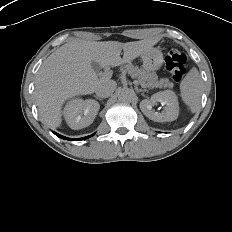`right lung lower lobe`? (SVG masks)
<instances>
[{"mask_svg":"<svg viewBox=\"0 0 232 232\" xmlns=\"http://www.w3.org/2000/svg\"><path fill=\"white\" fill-rule=\"evenodd\" d=\"M56 136H58V137H60V138H62V139H67V140H84V139H87L88 137H91L92 135H90V136H87V137H83V138H78V139H71V138H67V137H64V136H62V135H60V134H58V133H56V132H53Z\"/></svg>","mask_w":232,"mask_h":232,"instance_id":"obj_1","label":"right lung lower lobe"}]
</instances>
